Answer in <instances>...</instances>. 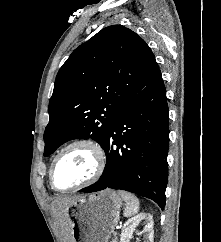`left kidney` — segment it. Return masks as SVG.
I'll use <instances>...</instances> for the list:
<instances>
[{
  "label": "left kidney",
  "mask_w": 221,
  "mask_h": 242,
  "mask_svg": "<svg viewBox=\"0 0 221 242\" xmlns=\"http://www.w3.org/2000/svg\"><path fill=\"white\" fill-rule=\"evenodd\" d=\"M144 220L145 227L142 232H138V235L145 234L144 242H153L154 231H153V218L152 215L148 213H140L126 221L123 226L120 242H129V238L136 231L137 225Z\"/></svg>",
  "instance_id": "1"
}]
</instances>
